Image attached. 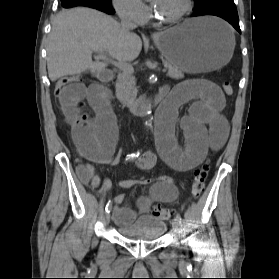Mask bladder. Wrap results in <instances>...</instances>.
Wrapping results in <instances>:
<instances>
[{"label": "bladder", "mask_w": 279, "mask_h": 279, "mask_svg": "<svg viewBox=\"0 0 279 279\" xmlns=\"http://www.w3.org/2000/svg\"><path fill=\"white\" fill-rule=\"evenodd\" d=\"M167 230V224L155 217L144 215L129 225H119V235L130 241L152 242L160 239Z\"/></svg>", "instance_id": "31cf9c89"}]
</instances>
